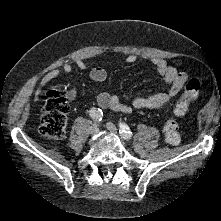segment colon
<instances>
[{"label": "colon", "instance_id": "5ec220e1", "mask_svg": "<svg viewBox=\"0 0 221 221\" xmlns=\"http://www.w3.org/2000/svg\"><path fill=\"white\" fill-rule=\"evenodd\" d=\"M201 87L202 84L198 78H192L187 82L182 98L175 104L173 116L163 126V134L168 144L177 145L180 142L181 131L178 118L185 114L189 103L199 95ZM68 113L69 105L62 93L56 89L49 91L41 110L40 134L50 141L62 139Z\"/></svg>", "mask_w": 221, "mask_h": 221}]
</instances>
